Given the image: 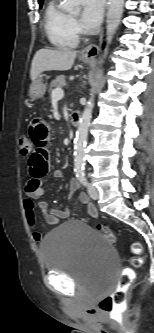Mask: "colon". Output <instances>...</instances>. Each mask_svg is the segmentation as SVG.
<instances>
[{
  "instance_id": "1",
  "label": "colon",
  "mask_w": 154,
  "mask_h": 333,
  "mask_svg": "<svg viewBox=\"0 0 154 333\" xmlns=\"http://www.w3.org/2000/svg\"><path fill=\"white\" fill-rule=\"evenodd\" d=\"M19 144L20 152L23 156L29 155L31 153V143L27 134H22L20 136ZM97 230L110 242H115V236L107 225H98ZM131 249L134 254L133 258L131 259L132 266H142L144 263V257L142 256L143 250L141 244L135 242L132 244ZM133 278V270L130 268L124 269L116 289L111 294H108L100 299L98 303L99 309L102 312L112 316H121L125 308L126 293Z\"/></svg>"
}]
</instances>
